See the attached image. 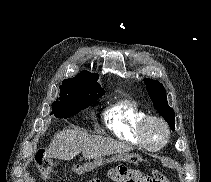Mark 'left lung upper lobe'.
<instances>
[{
    "label": "left lung upper lobe",
    "instance_id": "left-lung-upper-lobe-1",
    "mask_svg": "<svg viewBox=\"0 0 211 182\" xmlns=\"http://www.w3.org/2000/svg\"><path fill=\"white\" fill-rule=\"evenodd\" d=\"M149 96L154 104L156 110L167 121L170 128L175 130V113L168 105L166 99V91L163 85L156 80L144 79Z\"/></svg>",
    "mask_w": 211,
    "mask_h": 182
}]
</instances>
